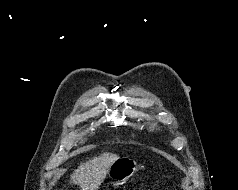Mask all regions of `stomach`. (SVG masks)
<instances>
[{"label":"stomach","instance_id":"obj_1","mask_svg":"<svg viewBox=\"0 0 238 190\" xmlns=\"http://www.w3.org/2000/svg\"><path fill=\"white\" fill-rule=\"evenodd\" d=\"M137 170V164L133 159L123 157L115 161L108 172L112 180L122 182L132 177Z\"/></svg>","mask_w":238,"mask_h":190}]
</instances>
